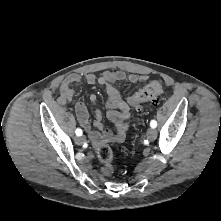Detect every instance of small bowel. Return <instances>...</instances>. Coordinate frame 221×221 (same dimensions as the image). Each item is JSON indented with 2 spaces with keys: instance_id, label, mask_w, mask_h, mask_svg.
<instances>
[{
  "instance_id": "small-bowel-1",
  "label": "small bowel",
  "mask_w": 221,
  "mask_h": 221,
  "mask_svg": "<svg viewBox=\"0 0 221 221\" xmlns=\"http://www.w3.org/2000/svg\"><path fill=\"white\" fill-rule=\"evenodd\" d=\"M85 81L90 84H100L107 93L106 108L107 117L115 124V133L110 129L103 127L102 112L100 109L95 110V120L93 126L96 131H91L89 114L86 106L82 102H77L75 111L80 125L90 134L92 146L98 148L108 142H122L126 136L131 119L129 103L123 100L115 83L120 81H128L130 83L144 82L148 79L146 75H138L136 73H125L120 70L104 71L100 75L88 73L84 76ZM81 77L77 74H71L64 79L60 86V94L58 102L65 104L70 101L75 93L74 86L78 84ZM90 101L97 103L98 99L95 94L90 95Z\"/></svg>"
}]
</instances>
